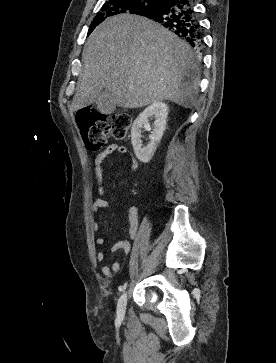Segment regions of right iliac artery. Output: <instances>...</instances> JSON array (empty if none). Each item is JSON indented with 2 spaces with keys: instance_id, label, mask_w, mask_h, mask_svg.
Here are the masks:
<instances>
[{
  "instance_id": "1",
  "label": "right iliac artery",
  "mask_w": 276,
  "mask_h": 363,
  "mask_svg": "<svg viewBox=\"0 0 276 363\" xmlns=\"http://www.w3.org/2000/svg\"><path fill=\"white\" fill-rule=\"evenodd\" d=\"M127 283H124L123 285L119 286V291L123 292L126 289Z\"/></svg>"
}]
</instances>
